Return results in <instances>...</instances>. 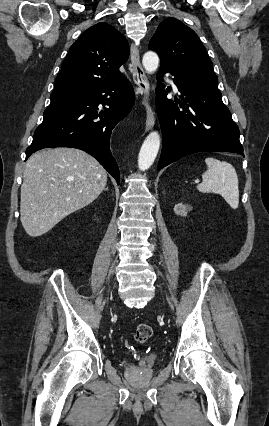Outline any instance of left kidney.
<instances>
[{"mask_svg": "<svg viewBox=\"0 0 269 426\" xmlns=\"http://www.w3.org/2000/svg\"><path fill=\"white\" fill-rule=\"evenodd\" d=\"M191 210V206L188 204L178 203L174 206V212L176 215H181L180 217L183 219L188 211Z\"/></svg>", "mask_w": 269, "mask_h": 426, "instance_id": "obj_1", "label": "left kidney"}]
</instances>
